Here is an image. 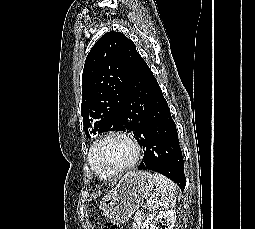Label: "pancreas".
<instances>
[{
	"instance_id": "pancreas-1",
	"label": "pancreas",
	"mask_w": 255,
	"mask_h": 229,
	"mask_svg": "<svg viewBox=\"0 0 255 229\" xmlns=\"http://www.w3.org/2000/svg\"><path fill=\"white\" fill-rule=\"evenodd\" d=\"M144 221V216L142 215V212H137L134 216V221L132 223L133 229H142Z\"/></svg>"
}]
</instances>
